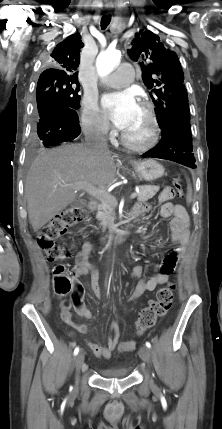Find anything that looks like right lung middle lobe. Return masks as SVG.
I'll return each mask as SVG.
<instances>
[{
	"label": "right lung middle lobe",
	"instance_id": "obj_1",
	"mask_svg": "<svg viewBox=\"0 0 222 429\" xmlns=\"http://www.w3.org/2000/svg\"><path fill=\"white\" fill-rule=\"evenodd\" d=\"M78 79L65 78H39L36 89L38 113L54 103H62L70 108L77 109L80 104Z\"/></svg>",
	"mask_w": 222,
	"mask_h": 429
}]
</instances>
